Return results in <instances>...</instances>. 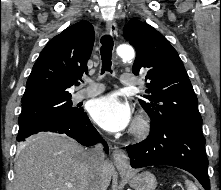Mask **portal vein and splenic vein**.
Masks as SVG:
<instances>
[{"mask_svg":"<svg viewBox=\"0 0 221 190\" xmlns=\"http://www.w3.org/2000/svg\"><path fill=\"white\" fill-rule=\"evenodd\" d=\"M68 187H72V184L71 183H67L66 184Z\"/></svg>","mask_w":221,"mask_h":190,"instance_id":"1","label":"portal vein and splenic vein"}]
</instances>
